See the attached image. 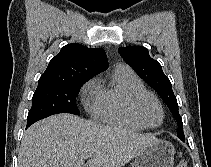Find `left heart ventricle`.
Instances as JSON below:
<instances>
[{
  "label": "left heart ventricle",
  "mask_w": 211,
  "mask_h": 167,
  "mask_svg": "<svg viewBox=\"0 0 211 167\" xmlns=\"http://www.w3.org/2000/svg\"><path fill=\"white\" fill-rule=\"evenodd\" d=\"M137 110L142 120L148 125H156L161 120V111L155 100L148 96H142L137 103Z\"/></svg>",
  "instance_id": "obj_1"
}]
</instances>
